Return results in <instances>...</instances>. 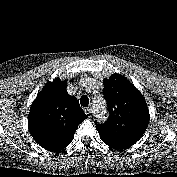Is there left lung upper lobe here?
Masks as SVG:
<instances>
[{"label": "left lung upper lobe", "instance_id": "obj_1", "mask_svg": "<svg viewBox=\"0 0 177 177\" xmlns=\"http://www.w3.org/2000/svg\"><path fill=\"white\" fill-rule=\"evenodd\" d=\"M103 94L109 117L96 129L101 140L109 147L135 144L149 124V110L142 94L124 76L117 73L104 79Z\"/></svg>", "mask_w": 177, "mask_h": 177}]
</instances>
